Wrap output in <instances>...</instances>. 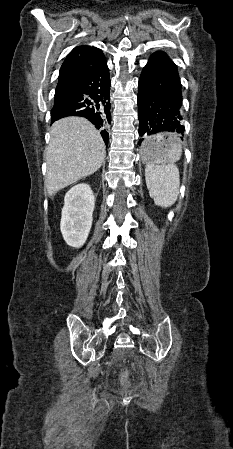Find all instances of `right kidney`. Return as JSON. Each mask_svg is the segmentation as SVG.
I'll return each mask as SVG.
<instances>
[{"instance_id": "right-kidney-1", "label": "right kidney", "mask_w": 233, "mask_h": 449, "mask_svg": "<svg viewBox=\"0 0 233 449\" xmlns=\"http://www.w3.org/2000/svg\"><path fill=\"white\" fill-rule=\"evenodd\" d=\"M94 206L95 197L88 184H78L66 193L60 229L69 246L80 248L87 240L92 226Z\"/></svg>"}]
</instances>
